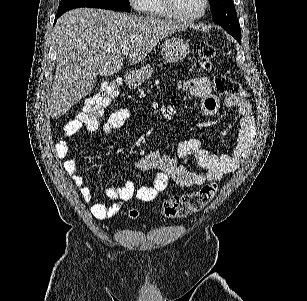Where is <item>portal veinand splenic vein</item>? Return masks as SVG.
Returning <instances> with one entry per match:
<instances>
[{
	"instance_id": "obj_1",
	"label": "portal vein and splenic vein",
	"mask_w": 307,
	"mask_h": 301,
	"mask_svg": "<svg viewBox=\"0 0 307 301\" xmlns=\"http://www.w3.org/2000/svg\"><path fill=\"white\" fill-rule=\"evenodd\" d=\"M121 54H126V56H127V54H129V48H128V46H123V48H122V50H121Z\"/></svg>"
}]
</instances>
